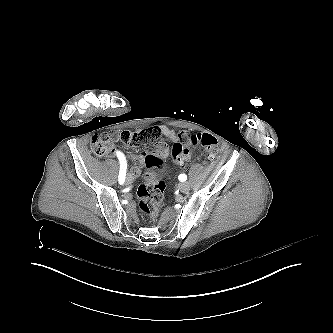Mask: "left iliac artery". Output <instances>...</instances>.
I'll return each instance as SVG.
<instances>
[{
	"instance_id": "1",
	"label": "left iliac artery",
	"mask_w": 333,
	"mask_h": 333,
	"mask_svg": "<svg viewBox=\"0 0 333 333\" xmlns=\"http://www.w3.org/2000/svg\"><path fill=\"white\" fill-rule=\"evenodd\" d=\"M178 179H179L181 182H183V181H185V180L187 179V176H186L185 174H180L179 177H178Z\"/></svg>"
}]
</instances>
